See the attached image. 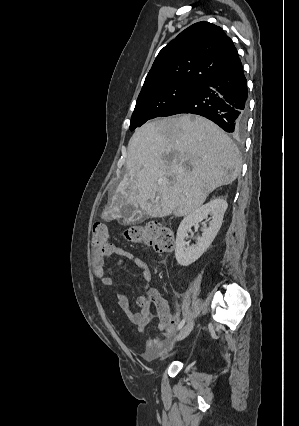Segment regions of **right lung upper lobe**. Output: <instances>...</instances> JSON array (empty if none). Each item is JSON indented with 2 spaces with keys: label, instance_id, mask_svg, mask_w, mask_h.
<instances>
[{
  "label": "right lung upper lobe",
  "instance_id": "cb5924a9",
  "mask_svg": "<svg viewBox=\"0 0 299 426\" xmlns=\"http://www.w3.org/2000/svg\"><path fill=\"white\" fill-rule=\"evenodd\" d=\"M238 58L232 40L219 26L195 23L159 52L140 93L171 83L201 86Z\"/></svg>",
  "mask_w": 299,
  "mask_h": 426
}]
</instances>
